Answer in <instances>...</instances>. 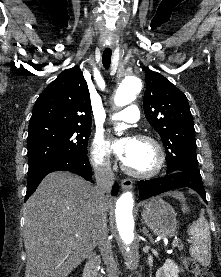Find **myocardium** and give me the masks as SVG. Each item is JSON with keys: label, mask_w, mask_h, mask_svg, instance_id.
Masks as SVG:
<instances>
[{"label": "myocardium", "mask_w": 221, "mask_h": 277, "mask_svg": "<svg viewBox=\"0 0 221 277\" xmlns=\"http://www.w3.org/2000/svg\"><path fill=\"white\" fill-rule=\"evenodd\" d=\"M135 140L141 141V142H146L149 143L155 150L156 153V164L155 166L145 172H139V171H134L130 169L123 161L121 162V169L128 174L129 176H132L134 178H140V179H147V178H152L156 176L163 168L164 162H165V155L162 146L160 143L154 139L151 136L148 135H137L135 137Z\"/></svg>", "instance_id": "obj_1"}]
</instances>
